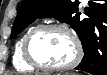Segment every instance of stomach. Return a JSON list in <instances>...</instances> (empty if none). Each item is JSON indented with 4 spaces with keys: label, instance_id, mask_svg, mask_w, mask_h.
Here are the masks:
<instances>
[{
    "label": "stomach",
    "instance_id": "stomach-1",
    "mask_svg": "<svg viewBox=\"0 0 107 75\" xmlns=\"http://www.w3.org/2000/svg\"><path fill=\"white\" fill-rule=\"evenodd\" d=\"M65 75H77V74H74V73H68V74H65Z\"/></svg>",
    "mask_w": 107,
    "mask_h": 75
}]
</instances>
